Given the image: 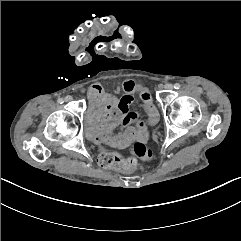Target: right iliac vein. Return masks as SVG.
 <instances>
[{
  "label": "right iliac vein",
  "instance_id": "1",
  "mask_svg": "<svg viewBox=\"0 0 241 241\" xmlns=\"http://www.w3.org/2000/svg\"><path fill=\"white\" fill-rule=\"evenodd\" d=\"M71 100H72V97H71V96L65 97V101H66V102H69V101H71Z\"/></svg>",
  "mask_w": 241,
  "mask_h": 241
}]
</instances>
